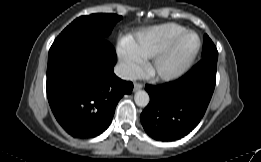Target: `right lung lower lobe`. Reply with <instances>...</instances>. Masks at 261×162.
I'll use <instances>...</instances> for the list:
<instances>
[{
    "mask_svg": "<svg viewBox=\"0 0 261 162\" xmlns=\"http://www.w3.org/2000/svg\"><path fill=\"white\" fill-rule=\"evenodd\" d=\"M116 53L103 37L54 42L49 50L47 97L64 130L75 138H91L105 131L115 107L133 84L118 78Z\"/></svg>",
    "mask_w": 261,
    "mask_h": 162,
    "instance_id": "right-lung-lower-lobe-1",
    "label": "right lung lower lobe"
}]
</instances>
